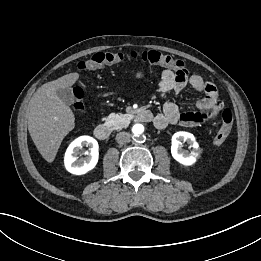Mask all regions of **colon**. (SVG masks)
Here are the masks:
<instances>
[{
  "label": "colon",
  "mask_w": 261,
  "mask_h": 261,
  "mask_svg": "<svg viewBox=\"0 0 261 261\" xmlns=\"http://www.w3.org/2000/svg\"><path fill=\"white\" fill-rule=\"evenodd\" d=\"M126 59H136L141 60L144 63L151 65H161L176 71H186L184 63L170 55L163 54L156 50H147L143 52H131L128 54L121 52H97L87 58L86 60L79 63V69L83 71H93L99 69L105 65L118 64ZM75 96V108L77 110L82 109L81 100L83 98V92L80 88L74 90ZM222 124L218 132L214 137V144L216 146H221L228 138L232 124H233V114L230 109H225L222 112Z\"/></svg>",
  "instance_id": "5ec220e1"
}]
</instances>
